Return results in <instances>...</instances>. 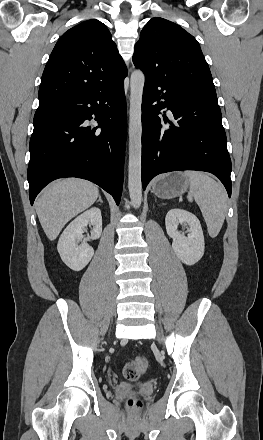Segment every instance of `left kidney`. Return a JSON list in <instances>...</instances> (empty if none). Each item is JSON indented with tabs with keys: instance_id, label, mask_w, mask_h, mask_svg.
<instances>
[{
	"instance_id": "obj_1",
	"label": "left kidney",
	"mask_w": 263,
	"mask_h": 440,
	"mask_svg": "<svg viewBox=\"0 0 263 440\" xmlns=\"http://www.w3.org/2000/svg\"><path fill=\"white\" fill-rule=\"evenodd\" d=\"M166 231L173 239L172 248L176 256L186 265H194L204 255L205 243L199 219L183 209H171L165 218ZM189 228L186 237L178 231V226Z\"/></svg>"
}]
</instances>
